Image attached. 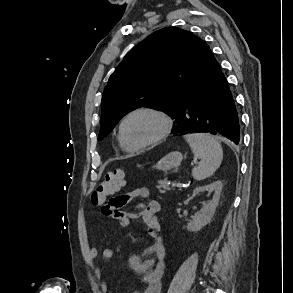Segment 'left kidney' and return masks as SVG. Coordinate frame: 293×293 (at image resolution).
Here are the masks:
<instances>
[{
	"instance_id": "1",
	"label": "left kidney",
	"mask_w": 293,
	"mask_h": 293,
	"mask_svg": "<svg viewBox=\"0 0 293 293\" xmlns=\"http://www.w3.org/2000/svg\"><path fill=\"white\" fill-rule=\"evenodd\" d=\"M222 187L223 184L221 181H215L211 184L197 187L193 191L194 195H198L204 191L214 192V194L212 200L205 204L201 208V210L195 214L193 220L190 223H188L187 226H183V228H186L190 232H197L201 230L204 226H206L208 223H210L216 210V207L218 206Z\"/></svg>"
}]
</instances>
